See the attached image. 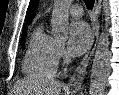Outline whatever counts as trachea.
Masks as SVG:
<instances>
[{"mask_svg": "<svg viewBox=\"0 0 119 95\" xmlns=\"http://www.w3.org/2000/svg\"><path fill=\"white\" fill-rule=\"evenodd\" d=\"M88 9H92L94 5V0H84Z\"/></svg>", "mask_w": 119, "mask_h": 95, "instance_id": "3493384b", "label": "trachea"}]
</instances>
